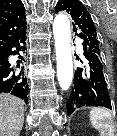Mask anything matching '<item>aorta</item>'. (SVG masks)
Listing matches in <instances>:
<instances>
[{
    "label": "aorta",
    "mask_w": 117,
    "mask_h": 136,
    "mask_svg": "<svg viewBox=\"0 0 117 136\" xmlns=\"http://www.w3.org/2000/svg\"><path fill=\"white\" fill-rule=\"evenodd\" d=\"M53 33L57 60V78L62 90L70 88L73 79L70 20L65 14L56 15Z\"/></svg>",
    "instance_id": "obj_1"
}]
</instances>
